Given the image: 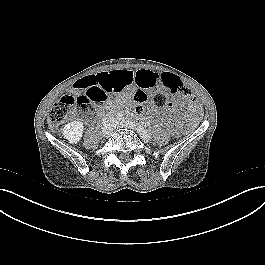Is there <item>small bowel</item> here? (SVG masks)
<instances>
[{
  "label": "small bowel",
  "instance_id": "1",
  "mask_svg": "<svg viewBox=\"0 0 265 265\" xmlns=\"http://www.w3.org/2000/svg\"><path fill=\"white\" fill-rule=\"evenodd\" d=\"M160 74L161 73L159 72L151 70H140L138 72H134L131 70L123 69L102 72L95 75V77L104 76L108 78L112 82V84L118 89V91H122L123 89L132 85H137L142 89L159 88L161 87L158 81ZM183 103L181 104L182 106ZM167 110L173 112L176 110V106L171 105L167 108Z\"/></svg>",
  "mask_w": 265,
  "mask_h": 265
}]
</instances>
